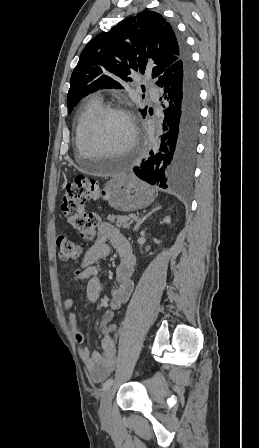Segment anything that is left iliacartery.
Listing matches in <instances>:
<instances>
[{"mask_svg": "<svg viewBox=\"0 0 259 448\" xmlns=\"http://www.w3.org/2000/svg\"><path fill=\"white\" fill-rule=\"evenodd\" d=\"M113 382H114L113 379H108V380L103 384V386H102V390L105 391V390L109 389V388L112 386Z\"/></svg>", "mask_w": 259, "mask_h": 448, "instance_id": "left-iliac-artery-1", "label": "left iliac artery"}]
</instances>
